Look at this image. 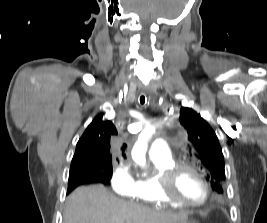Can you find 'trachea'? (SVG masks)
<instances>
[{
    "label": "trachea",
    "instance_id": "obj_1",
    "mask_svg": "<svg viewBox=\"0 0 267 223\" xmlns=\"http://www.w3.org/2000/svg\"><path fill=\"white\" fill-rule=\"evenodd\" d=\"M139 101H140V104H145V96L144 95H141L140 98H139Z\"/></svg>",
    "mask_w": 267,
    "mask_h": 223
}]
</instances>
